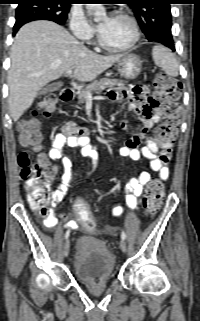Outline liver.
I'll use <instances>...</instances> for the list:
<instances>
[{
  "label": "liver",
  "mask_w": 200,
  "mask_h": 321,
  "mask_svg": "<svg viewBox=\"0 0 200 321\" xmlns=\"http://www.w3.org/2000/svg\"><path fill=\"white\" fill-rule=\"evenodd\" d=\"M123 55L102 56L83 47L62 26L46 20L24 25L11 48L8 102L16 122L38 92L69 69L81 82L94 80Z\"/></svg>",
  "instance_id": "liver-1"
}]
</instances>
